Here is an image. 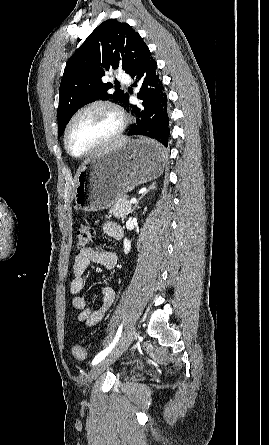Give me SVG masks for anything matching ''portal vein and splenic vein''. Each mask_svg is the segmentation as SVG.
<instances>
[{
    "mask_svg": "<svg viewBox=\"0 0 269 445\" xmlns=\"http://www.w3.org/2000/svg\"><path fill=\"white\" fill-rule=\"evenodd\" d=\"M136 201H137V200H136L135 198H132V199L130 200V203H131V204H134V203H136Z\"/></svg>",
    "mask_w": 269,
    "mask_h": 445,
    "instance_id": "obj_1",
    "label": "portal vein and splenic vein"
}]
</instances>
